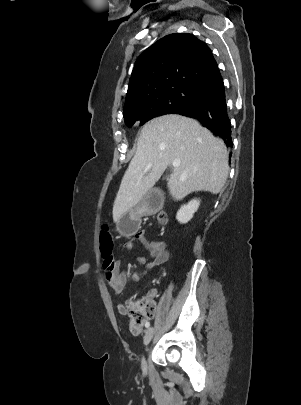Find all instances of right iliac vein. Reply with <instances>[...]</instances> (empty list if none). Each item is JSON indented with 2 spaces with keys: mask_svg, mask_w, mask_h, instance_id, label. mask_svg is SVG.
I'll list each match as a JSON object with an SVG mask.
<instances>
[{
  "mask_svg": "<svg viewBox=\"0 0 301 405\" xmlns=\"http://www.w3.org/2000/svg\"><path fill=\"white\" fill-rule=\"evenodd\" d=\"M155 333V329L153 327L149 328L144 336V345H148L150 343V341L152 340L153 336ZM141 365L143 369H146V362H145V358L142 357L141 360Z\"/></svg>",
  "mask_w": 301,
  "mask_h": 405,
  "instance_id": "obj_1",
  "label": "right iliac vein"
}]
</instances>
